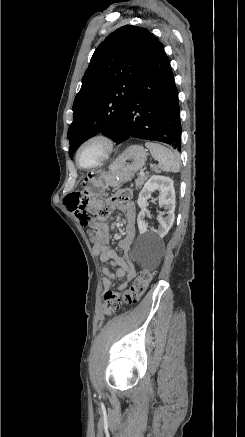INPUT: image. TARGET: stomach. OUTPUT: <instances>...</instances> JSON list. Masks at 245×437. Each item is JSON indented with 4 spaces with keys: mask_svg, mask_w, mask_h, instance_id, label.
I'll use <instances>...</instances> for the list:
<instances>
[{
    "mask_svg": "<svg viewBox=\"0 0 245 437\" xmlns=\"http://www.w3.org/2000/svg\"><path fill=\"white\" fill-rule=\"evenodd\" d=\"M146 149L141 145L129 146L111 165L108 172L93 171L86 175L85 189L101 195L109 187H118L129 181L146 162Z\"/></svg>",
    "mask_w": 245,
    "mask_h": 437,
    "instance_id": "0dacf381",
    "label": "stomach"
}]
</instances>
